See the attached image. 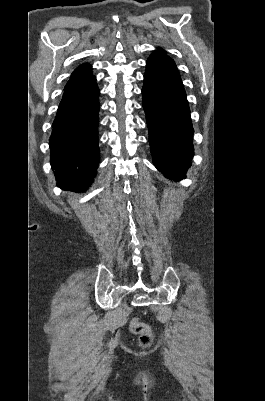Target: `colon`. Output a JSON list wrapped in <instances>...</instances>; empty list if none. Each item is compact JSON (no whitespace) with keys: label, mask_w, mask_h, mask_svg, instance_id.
I'll return each instance as SVG.
<instances>
[{"label":"colon","mask_w":265,"mask_h":401,"mask_svg":"<svg viewBox=\"0 0 265 401\" xmlns=\"http://www.w3.org/2000/svg\"><path fill=\"white\" fill-rule=\"evenodd\" d=\"M131 331L139 336V341L142 346H149L152 342V332L150 327L141 322L138 318H133L130 322Z\"/></svg>","instance_id":"5ec220e1"}]
</instances>
